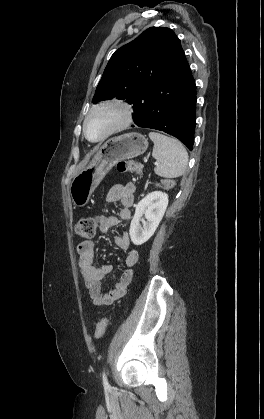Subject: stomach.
<instances>
[{
    "mask_svg": "<svg viewBox=\"0 0 264 419\" xmlns=\"http://www.w3.org/2000/svg\"><path fill=\"white\" fill-rule=\"evenodd\" d=\"M148 148L147 138L132 132L107 140L90 163L72 180L69 193L77 207H83L104 176L121 160L137 157Z\"/></svg>",
    "mask_w": 264,
    "mask_h": 419,
    "instance_id": "0dacf381",
    "label": "stomach"
}]
</instances>
